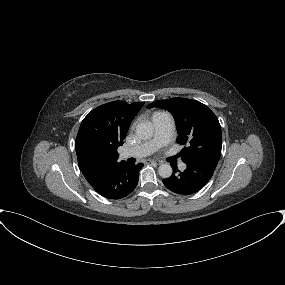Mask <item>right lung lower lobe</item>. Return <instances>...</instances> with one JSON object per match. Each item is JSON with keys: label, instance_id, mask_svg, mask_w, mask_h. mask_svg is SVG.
Returning <instances> with one entry per match:
<instances>
[{"label": "right lung lower lobe", "instance_id": "right-lung-lower-lobe-1", "mask_svg": "<svg viewBox=\"0 0 285 285\" xmlns=\"http://www.w3.org/2000/svg\"><path fill=\"white\" fill-rule=\"evenodd\" d=\"M142 166V163L134 165L123 162L87 181L103 197L121 199L137 186Z\"/></svg>", "mask_w": 285, "mask_h": 285}]
</instances>
